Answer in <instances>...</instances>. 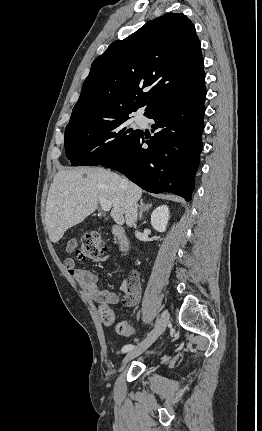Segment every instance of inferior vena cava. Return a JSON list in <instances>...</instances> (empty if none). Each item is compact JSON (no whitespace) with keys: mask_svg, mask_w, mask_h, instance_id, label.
<instances>
[{"mask_svg":"<svg viewBox=\"0 0 262 431\" xmlns=\"http://www.w3.org/2000/svg\"><path fill=\"white\" fill-rule=\"evenodd\" d=\"M137 201L134 198L129 197L126 201L124 214L125 221L129 227L135 226L137 221Z\"/></svg>","mask_w":262,"mask_h":431,"instance_id":"inferior-vena-cava-1","label":"inferior vena cava"}]
</instances>
